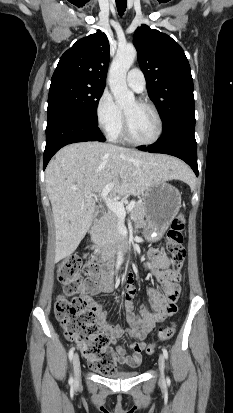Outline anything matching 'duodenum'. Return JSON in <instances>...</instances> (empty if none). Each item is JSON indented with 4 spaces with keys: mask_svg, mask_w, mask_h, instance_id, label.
<instances>
[{
    "mask_svg": "<svg viewBox=\"0 0 233 413\" xmlns=\"http://www.w3.org/2000/svg\"><path fill=\"white\" fill-rule=\"evenodd\" d=\"M130 247V241L124 236H118L113 242L98 250V256L103 261H108L111 254L118 250H126Z\"/></svg>",
    "mask_w": 233,
    "mask_h": 413,
    "instance_id": "410a0bca",
    "label": "duodenum"
}]
</instances>
